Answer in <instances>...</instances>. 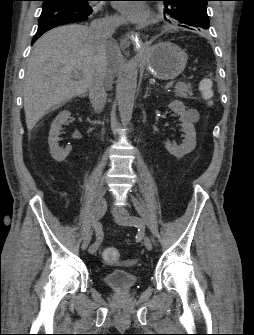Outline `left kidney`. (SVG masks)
<instances>
[{
    "mask_svg": "<svg viewBox=\"0 0 254 335\" xmlns=\"http://www.w3.org/2000/svg\"><path fill=\"white\" fill-rule=\"evenodd\" d=\"M168 107L180 116L182 130L185 133L182 144L177 145L169 141L165 142L167 151L176 158H182L184 155L191 153L196 147V131L190 120L186 107L183 102L174 100Z\"/></svg>",
    "mask_w": 254,
    "mask_h": 335,
    "instance_id": "obj_1",
    "label": "left kidney"
}]
</instances>
